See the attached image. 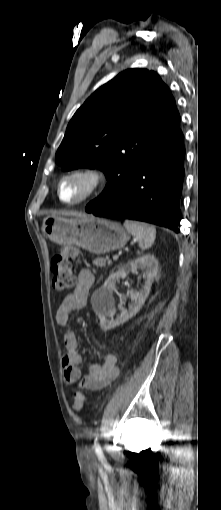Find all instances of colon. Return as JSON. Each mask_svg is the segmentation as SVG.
Wrapping results in <instances>:
<instances>
[{
    "label": "colon",
    "mask_w": 221,
    "mask_h": 510,
    "mask_svg": "<svg viewBox=\"0 0 221 510\" xmlns=\"http://www.w3.org/2000/svg\"><path fill=\"white\" fill-rule=\"evenodd\" d=\"M79 255L80 252L76 247L66 246L53 257V287L56 290L64 291L73 285V265L78 260ZM85 402V394L77 389L74 395L73 408L80 411L84 407Z\"/></svg>",
    "instance_id": "colon-1"
}]
</instances>
